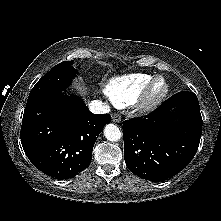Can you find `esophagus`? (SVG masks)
I'll return each instance as SVG.
<instances>
[{
    "instance_id": "obj_1",
    "label": "esophagus",
    "mask_w": 221,
    "mask_h": 221,
    "mask_svg": "<svg viewBox=\"0 0 221 221\" xmlns=\"http://www.w3.org/2000/svg\"><path fill=\"white\" fill-rule=\"evenodd\" d=\"M112 121H113L114 123H120V122H121V116L118 115V114H114V115L112 116Z\"/></svg>"
}]
</instances>
